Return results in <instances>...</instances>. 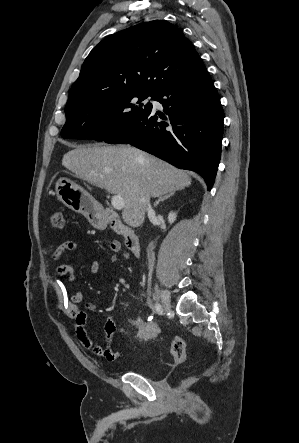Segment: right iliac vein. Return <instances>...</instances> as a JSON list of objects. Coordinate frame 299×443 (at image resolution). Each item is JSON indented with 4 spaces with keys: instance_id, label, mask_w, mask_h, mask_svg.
<instances>
[{
    "instance_id": "1",
    "label": "right iliac vein",
    "mask_w": 299,
    "mask_h": 443,
    "mask_svg": "<svg viewBox=\"0 0 299 443\" xmlns=\"http://www.w3.org/2000/svg\"><path fill=\"white\" fill-rule=\"evenodd\" d=\"M160 294H161V303H162L163 309L165 311L170 310L171 300H170L169 292L166 289H161Z\"/></svg>"
}]
</instances>
